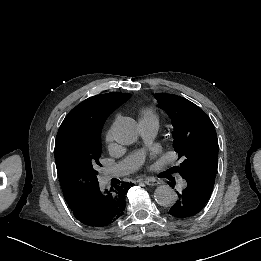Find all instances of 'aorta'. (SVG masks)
Returning a JSON list of instances; mask_svg holds the SVG:
<instances>
[{
  "label": "aorta",
  "instance_id": "762f6f07",
  "mask_svg": "<svg viewBox=\"0 0 261 261\" xmlns=\"http://www.w3.org/2000/svg\"><path fill=\"white\" fill-rule=\"evenodd\" d=\"M113 136L117 143L130 145L138 138L137 123L129 117H122L113 125ZM154 199L161 206H172L177 200L176 192L169 185H160L154 191Z\"/></svg>",
  "mask_w": 261,
  "mask_h": 261
}]
</instances>
